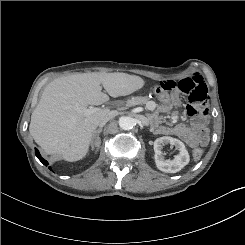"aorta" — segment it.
Masks as SVG:
<instances>
[{
	"label": "aorta",
	"mask_w": 245,
	"mask_h": 245,
	"mask_svg": "<svg viewBox=\"0 0 245 245\" xmlns=\"http://www.w3.org/2000/svg\"><path fill=\"white\" fill-rule=\"evenodd\" d=\"M135 124V119L129 116H123L119 119V126L123 130H131Z\"/></svg>",
	"instance_id": "aorta-1"
}]
</instances>
